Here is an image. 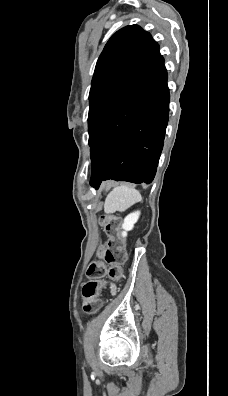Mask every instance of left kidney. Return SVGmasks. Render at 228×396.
Masks as SVG:
<instances>
[{"mask_svg":"<svg viewBox=\"0 0 228 396\" xmlns=\"http://www.w3.org/2000/svg\"><path fill=\"white\" fill-rule=\"evenodd\" d=\"M140 216V211H136L133 213H130L127 215L124 219V222L122 224L123 232L122 236L125 238L127 236V232L132 230L134 227V224L138 221Z\"/></svg>","mask_w":228,"mask_h":396,"instance_id":"obj_1","label":"left kidney"}]
</instances>
